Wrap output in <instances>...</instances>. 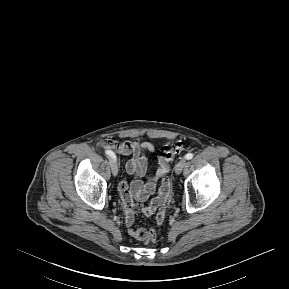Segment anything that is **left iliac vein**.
Instances as JSON below:
<instances>
[{
	"mask_svg": "<svg viewBox=\"0 0 289 289\" xmlns=\"http://www.w3.org/2000/svg\"><path fill=\"white\" fill-rule=\"evenodd\" d=\"M185 163H186V160H185V159H181V160L176 164V166H175V173H176L177 175H179V174L182 172V170H183V168H184V166H185Z\"/></svg>",
	"mask_w": 289,
	"mask_h": 289,
	"instance_id": "4c4485c4",
	"label": "left iliac vein"
}]
</instances>
